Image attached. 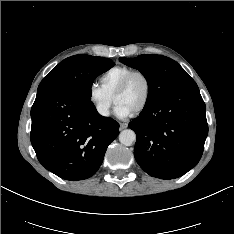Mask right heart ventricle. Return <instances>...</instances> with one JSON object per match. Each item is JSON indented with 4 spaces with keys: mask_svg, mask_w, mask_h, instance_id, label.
<instances>
[{
    "mask_svg": "<svg viewBox=\"0 0 234 234\" xmlns=\"http://www.w3.org/2000/svg\"><path fill=\"white\" fill-rule=\"evenodd\" d=\"M132 71L134 70L127 66H113L99 77L100 87L108 96L112 97L120 83Z\"/></svg>",
    "mask_w": 234,
    "mask_h": 234,
    "instance_id": "right-heart-ventricle-1",
    "label": "right heart ventricle"
}]
</instances>
